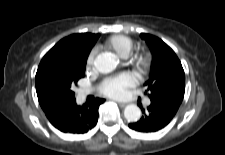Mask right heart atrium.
<instances>
[{
    "label": "right heart atrium",
    "instance_id": "d8ad5b80",
    "mask_svg": "<svg viewBox=\"0 0 225 155\" xmlns=\"http://www.w3.org/2000/svg\"><path fill=\"white\" fill-rule=\"evenodd\" d=\"M94 61V53H91L87 59V67H91Z\"/></svg>",
    "mask_w": 225,
    "mask_h": 155
}]
</instances>
